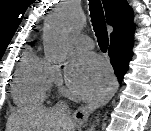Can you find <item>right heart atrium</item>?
Masks as SVG:
<instances>
[{
	"label": "right heart atrium",
	"instance_id": "right-heart-atrium-1",
	"mask_svg": "<svg viewBox=\"0 0 151 131\" xmlns=\"http://www.w3.org/2000/svg\"><path fill=\"white\" fill-rule=\"evenodd\" d=\"M50 83L52 85H57L59 84L61 80V72L57 66L50 65Z\"/></svg>",
	"mask_w": 151,
	"mask_h": 131
}]
</instances>
